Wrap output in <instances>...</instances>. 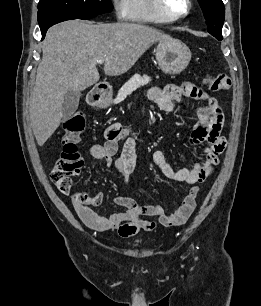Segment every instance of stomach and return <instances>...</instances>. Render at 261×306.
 Listing matches in <instances>:
<instances>
[{"label": "stomach", "mask_w": 261, "mask_h": 306, "mask_svg": "<svg viewBox=\"0 0 261 306\" xmlns=\"http://www.w3.org/2000/svg\"><path fill=\"white\" fill-rule=\"evenodd\" d=\"M156 60L159 68L167 74H179L189 64L191 60L190 49L180 40L169 38L159 41L156 48ZM112 103L110 97H103L98 101L102 108Z\"/></svg>", "instance_id": "stomach-1"}]
</instances>
